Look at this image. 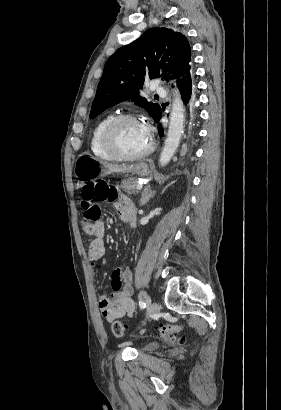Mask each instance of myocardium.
<instances>
[{
  "instance_id": "1",
  "label": "myocardium",
  "mask_w": 281,
  "mask_h": 410,
  "mask_svg": "<svg viewBox=\"0 0 281 410\" xmlns=\"http://www.w3.org/2000/svg\"><path fill=\"white\" fill-rule=\"evenodd\" d=\"M124 121H136L139 122V120L131 115V114H119L114 116L108 124L105 126V128L102 131L101 134V143L103 148L110 154L112 155L115 159L119 160H136V159H141L149 155L153 149H154V142L152 138L150 137V143L147 146L146 149H144L141 152L138 153H133L129 154L124 151H122L115 143L114 141V131L116 127Z\"/></svg>"
}]
</instances>
